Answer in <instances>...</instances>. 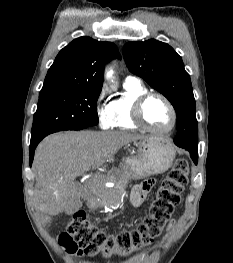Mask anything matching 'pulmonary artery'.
Instances as JSON below:
<instances>
[{
    "label": "pulmonary artery",
    "instance_id": "pulmonary-artery-1",
    "mask_svg": "<svg viewBox=\"0 0 233 263\" xmlns=\"http://www.w3.org/2000/svg\"><path fill=\"white\" fill-rule=\"evenodd\" d=\"M126 80L127 81H138V79L136 77H134V76H127Z\"/></svg>",
    "mask_w": 233,
    "mask_h": 263
}]
</instances>
